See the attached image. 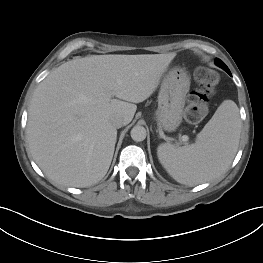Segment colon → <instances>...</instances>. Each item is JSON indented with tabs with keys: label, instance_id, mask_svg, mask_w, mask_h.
Masks as SVG:
<instances>
[{
	"label": "colon",
	"instance_id": "obj_1",
	"mask_svg": "<svg viewBox=\"0 0 263 263\" xmlns=\"http://www.w3.org/2000/svg\"><path fill=\"white\" fill-rule=\"evenodd\" d=\"M196 89L187 98L185 118L190 123H198L205 118L209 109V99L215 93L220 77L212 69L200 67L195 71Z\"/></svg>",
	"mask_w": 263,
	"mask_h": 263
}]
</instances>
